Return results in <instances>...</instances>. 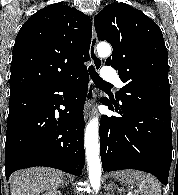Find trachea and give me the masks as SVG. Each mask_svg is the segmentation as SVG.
Listing matches in <instances>:
<instances>
[{
	"instance_id": "1",
	"label": "trachea",
	"mask_w": 178,
	"mask_h": 195,
	"mask_svg": "<svg viewBox=\"0 0 178 195\" xmlns=\"http://www.w3.org/2000/svg\"><path fill=\"white\" fill-rule=\"evenodd\" d=\"M89 75L94 83L99 87H111V85L107 84L96 72L95 68L91 65L88 68Z\"/></svg>"
}]
</instances>
